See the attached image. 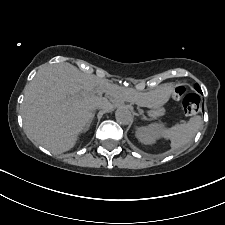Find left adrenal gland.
Wrapping results in <instances>:
<instances>
[{
	"label": "left adrenal gland",
	"instance_id": "left-adrenal-gland-1",
	"mask_svg": "<svg viewBox=\"0 0 225 225\" xmlns=\"http://www.w3.org/2000/svg\"><path fill=\"white\" fill-rule=\"evenodd\" d=\"M143 120H149L145 115H142Z\"/></svg>",
	"mask_w": 225,
	"mask_h": 225
}]
</instances>
